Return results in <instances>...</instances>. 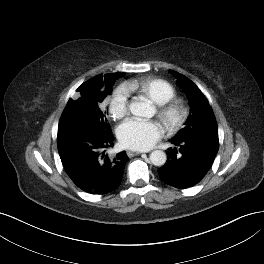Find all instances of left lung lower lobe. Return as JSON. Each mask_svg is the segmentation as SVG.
<instances>
[{"instance_id":"obj_1","label":"left lung lower lobe","mask_w":264,"mask_h":264,"mask_svg":"<svg viewBox=\"0 0 264 264\" xmlns=\"http://www.w3.org/2000/svg\"><path fill=\"white\" fill-rule=\"evenodd\" d=\"M170 142L167 161L158 169L163 182L175 188L184 189L198 184L211 168L219 149L216 137L193 136Z\"/></svg>"}]
</instances>
